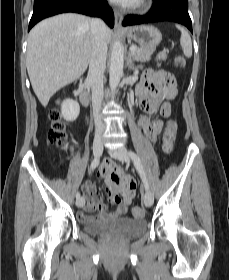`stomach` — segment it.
<instances>
[{"label": "stomach", "mask_w": 229, "mask_h": 280, "mask_svg": "<svg viewBox=\"0 0 229 280\" xmlns=\"http://www.w3.org/2000/svg\"><path fill=\"white\" fill-rule=\"evenodd\" d=\"M126 36L138 43L141 48L153 50H155L162 40L161 32L152 25L131 27L127 30Z\"/></svg>", "instance_id": "1"}]
</instances>
